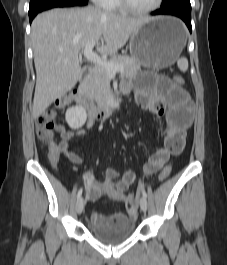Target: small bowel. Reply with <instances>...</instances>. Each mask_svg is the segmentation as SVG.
Listing matches in <instances>:
<instances>
[{
	"mask_svg": "<svg viewBox=\"0 0 227 265\" xmlns=\"http://www.w3.org/2000/svg\"><path fill=\"white\" fill-rule=\"evenodd\" d=\"M137 78L133 82H123V93L135 92V101L142 109L165 117L164 145L159 148L143 167L145 175L155 174L166 163L172 154L182 151L185 142L186 129L192 123V102L188 93L173 83L168 77L159 72H137ZM94 120L88 119L86 125L77 130H69L64 125H58L60 135L59 144L49 148V156L52 164L56 166L60 154H64L71 162L81 164L83 159L69 150V142L76 137L85 135L93 126ZM136 173L127 170L120 174L117 170L106 168L102 172V179L98 180L91 173L85 176L87 195L89 200H97L103 190L120 201L127 200V190L135 182ZM132 214V213H131ZM131 219L125 213H116L105 216L92 213L90 222L97 226L119 225Z\"/></svg>",
	"mask_w": 227,
	"mask_h": 265,
	"instance_id": "obj_1",
	"label": "small bowel"
}]
</instances>
